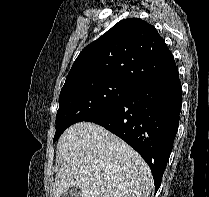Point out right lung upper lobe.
Masks as SVG:
<instances>
[{
    "instance_id": "cb5924a9",
    "label": "right lung upper lobe",
    "mask_w": 209,
    "mask_h": 197,
    "mask_svg": "<svg viewBox=\"0 0 209 197\" xmlns=\"http://www.w3.org/2000/svg\"><path fill=\"white\" fill-rule=\"evenodd\" d=\"M174 65L173 55L155 27L130 18L118 22L81 51L64 86L116 80L136 88Z\"/></svg>"
}]
</instances>
